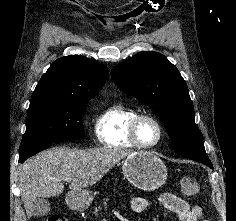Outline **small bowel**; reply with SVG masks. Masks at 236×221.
<instances>
[{"mask_svg":"<svg viewBox=\"0 0 236 221\" xmlns=\"http://www.w3.org/2000/svg\"><path fill=\"white\" fill-rule=\"evenodd\" d=\"M159 203L167 210L175 213L179 221H199L203 215L200 206H191L187 201L172 193L162 194ZM149 206V200L144 197H134L130 201L131 210L135 213H141Z\"/></svg>","mask_w":236,"mask_h":221,"instance_id":"c3829d8e","label":"small bowel"}]
</instances>
